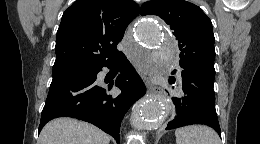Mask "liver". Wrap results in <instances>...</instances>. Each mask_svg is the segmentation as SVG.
<instances>
[{
	"label": "liver",
	"mask_w": 260,
	"mask_h": 144,
	"mask_svg": "<svg viewBox=\"0 0 260 144\" xmlns=\"http://www.w3.org/2000/svg\"><path fill=\"white\" fill-rule=\"evenodd\" d=\"M110 137L99 128L82 121L61 117L47 123L38 144H109Z\"/></svg>",
	"instance_id": "liver-1"
}]
</instances>
